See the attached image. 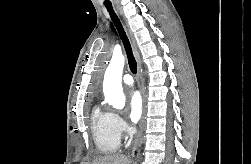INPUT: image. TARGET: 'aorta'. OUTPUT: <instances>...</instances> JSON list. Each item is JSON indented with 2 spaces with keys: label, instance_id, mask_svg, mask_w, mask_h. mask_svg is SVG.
I'll return each mask as SVG.
<instances>
[{
  "label": "aorta",
  "instance_id": "762f6f07",
  "mask_svg": "<svg viewBox=\"0 0 251 164\" xmlns=\"http://www.w3.org/2000/svg\"><path fill=\"white\" fill-rule=\"evenodd\" d=\"M124 64L125 57L122 54L113 55L104 75L103 92L105 101L117 109H122L125 105V96L122 89Z\"/></svg>",
  "mask_w": 251,
  "mask_h": 164
}]
</instances>
